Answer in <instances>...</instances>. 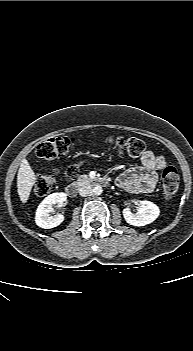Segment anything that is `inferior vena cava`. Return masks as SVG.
Masks as SVG:
<instances>
[{"label": "inferior vena cava", "mask_w": 193, "mask_h": 351, "mask_svg": "<svg viewBox=\"0 0 193 351\" xmlns=\"http://www.w3.org/2000/svg\"><path fill=\"white\" fill-rule=\"evenodd\" d=\"M78 191L81 196L85 197L91 194L92 189L90 185L84 184L78 188Z\"/></svg>", "instance_id": "inferior-vena-cava-1"}]
</instances>
